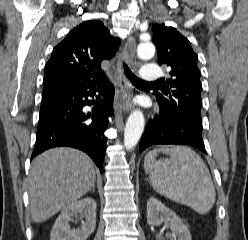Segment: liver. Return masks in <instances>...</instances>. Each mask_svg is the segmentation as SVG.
Here are the masks:
<instances>
[{
    "mask_svg": "<svg viewBox=\"0 0 248 240\" xmlns=\"http://www.w3.org/2000/svg\"><path fill=\"white\" fill-rule=\"evenodd\" d=\"M92 160L72 148H53L37 156L28 178L31 219L43 222L84 196L95 183Z\"/></svg>",
    "mask_w": 248,
    "mask_h": 240,
    "instance_id": "liver-1",
    "label": "liver"
}]
</instances>
